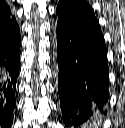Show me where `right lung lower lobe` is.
Returning <instances> with one entry per match:
<instances>
[{
	"label": "right lung lower lobe",
	"mask_w": 125,
	"mask_h": 128,
	"mask_svg": "<svg viewBox=\"0 0 125 128\" xmlns=\"http://www.w3.org/2000/svg\"><path fill=\"white\" fill-rule=\"evenodd\" d=\"M20 37L17 22L0 29V124L11 128L19 74Z\"/></svg>",
	"instance_id": "right-lung-lower-lobe-1"
}]
</instances>
